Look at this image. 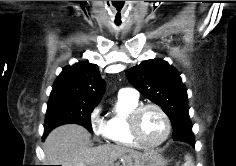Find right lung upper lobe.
Listing matches in <instances>:
<instances>
[{
	"label": "right lung upper lobe",
	"instance_id": "1",
	"mask_svg": "<svg viewBox=\"0 0 236 166\" xmlns=\"http://www.w3.org/2000/svg\"><path fill=\"white\" fill-rule=\"evenodd\" d=\"M104 90L105 82L100 76L98 66L79 62L63 69L54 82L50 100L71 99L97 104Z\"/></svg>",
	"mask_w": 236,
	"mask_h": 166
}]
</instances>
